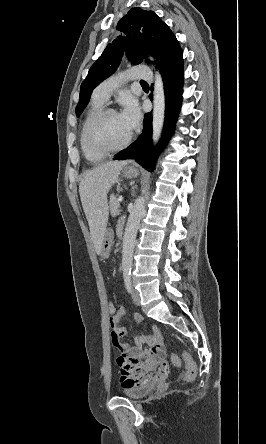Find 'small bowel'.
<instances>
[{"mask_svg": "<svg viewBox=\"0 0 266 444\" xmlns=\"http://www.w3.org/2000/svg\"><path fill=\"white\" fill-rule=\"evenodd\" d=\"M118 234L121 227L117 228ZM128 314L125 307L118 309L117 314L110 320L112 329L111 341L118 350L117 364L120 370V383L123 388L135 387L146 384H157L167 379L169 364L164 358L165 350L162 334L154 328L150 333H143L133 338V346L121 342L128 336V331L120 327L121 319ZM134 319L142 322L139 315Z\"/></svg>", "mask_w": 266, "mask_h": 444, "instance_id": "small-bowel-1", "label": "small bowel"}]
</instances>
